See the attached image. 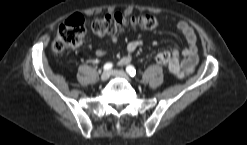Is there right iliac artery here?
<instances>
[{"instance_id": "1", "label": "right iliac artery", "mask_w": 247, "mask_h": 145, "mask_svg": "<svg viewBox=\"0 0 247 145\" xmlns=\"http://www.w3.org/2000/svg\"><path fill=\"white\" fill-rule=\"evenodd\" d=\"M112 67H113L112 63H106L103 68L104 70H110Z\"/></svg>"}]
</instances>
